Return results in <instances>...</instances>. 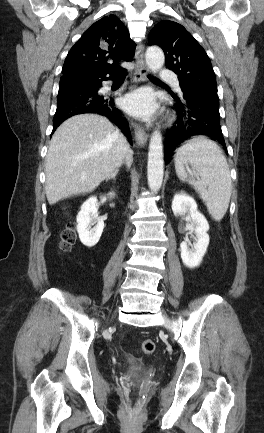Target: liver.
Instances as JSON below:
<instances>
[{
	"mask_svg": "<svg viewBox=\"0 0 264 433\" xmlns=\"http://www.w3.org/2000/svg\"><path fill=\"white\" fill-rule=\"evenodd\" d=\"M117 129L105 117L82 114L64 121L52 136L45 163V193L50 205L92 192L118 170ZM128 149L125 163H132Z\"/></svg>",
	"mask_w": 264,
	"mask_h": 433,
	"instance_id": "6515ba94",
	"label": "liver"
}]
</instances>
